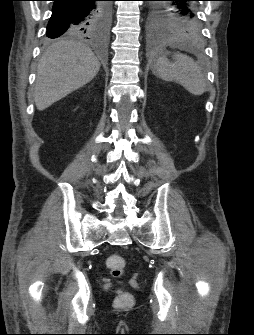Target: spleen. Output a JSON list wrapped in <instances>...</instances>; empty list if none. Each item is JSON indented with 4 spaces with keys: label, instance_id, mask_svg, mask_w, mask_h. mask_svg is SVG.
Segmentation results:
<instances>
[{
    "label": "spleen",
    "instance_id": "3e777b00",
    "mask_svg": "<svg viewBox=\"0 0 254 335\" xmlns=\"http://www.w3.org/2000/svg\"><path fill=\"white\" fill-rule=\"evenodd\" d=\"M169 45L174 47L173 42ZM167 55L163 48L158 51L153 73L162 80L177 82L195 96L202 95L206 91V79L199 65L184 54H175L174 62H170Z\"/></svg>",
    "mask_w": 254,
    "mask_h": 335
}]
</instances>
